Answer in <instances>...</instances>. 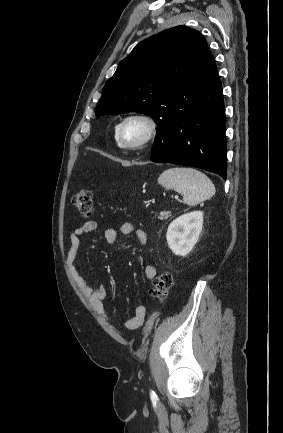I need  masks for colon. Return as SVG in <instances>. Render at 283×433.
<instances>
[{
    "instance_id": "1",
    "label": "colon",
    "mask_w": 283,
    "mask_h": 433,
    "mask_svg": "<svg viewBox=\"0 0 283 433\" xmlns=\"http://www.w3.org/2000/svg\"><path fill=\"white\" fill-rule=\"evenodd\" d=\"M73 208L83 217H89L93 212L92 192L88 188H80L71 199ZM173 286V276L170 272L158 275L150 289V296L157 301L167 298Z\"/></svg>"
}]
</instances>
